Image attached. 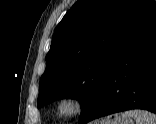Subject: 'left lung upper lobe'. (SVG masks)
Instances as JSON below:
<instances>
[{"mask_svg": "<svg viewBox=\"0 0 156 124\" xmlns=\"http://www.w3.org/2000/svg\"><path fill=\"white\" fill-rule=\"evenodd\" d=\"M156 12L154 0H79L52 37L38 108L61 98L81 103L82 121L115 63Z\"/></svg>", "mask_w": 156, "mask_h": 124, "instance_id": "obj_1", "label": "left lung upper lobe"}]
</instances>
